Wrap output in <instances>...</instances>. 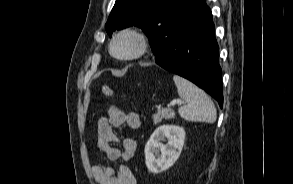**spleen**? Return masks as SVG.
Returning a JSON list of instances; mask_svg holds the SVG:
<instances>
[{"mask_svg":"<svg viewBox=\"0 0 293 184\" xmlns=\"http://www.w3.org/2000/svg\"><path fill=\"white\" fill-rule=\"evenodd\" d=\"M178 95L186 104L178 109L179 115L192 122L214 123L216 108L209 96L199 87L178 75L173 76Z\"/></svg>","mask_w":293,"mask_h":184,"instance_id":"spleen-1","label":"spleen"}]
</instances>
